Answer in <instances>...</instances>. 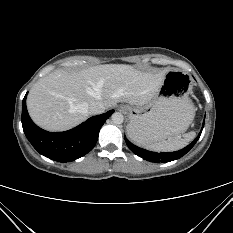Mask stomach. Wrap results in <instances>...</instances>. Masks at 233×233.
<instances>
[{
  "label": "stomach",
  "mask_w": 233,
  "mask_h": 233,
  "mask_svg": "<svg viewBox=\"0 0 233 233\" xmlns=\"http://www.w3.org/2000/svg\"><path fill=\"white\" fill-rule=\"evenodd\" d=\"M192 87L187 72L169 70L150 102L123 106L129 117L127 132L136 136L140 144L157 143L184 133L195 115L189 98Z\"/></svg>",
  "instance_id": "stomach-1"
}]
</instances>
